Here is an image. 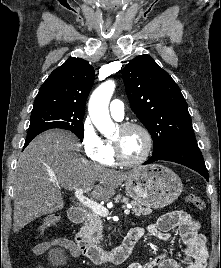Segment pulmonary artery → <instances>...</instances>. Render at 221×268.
I'll list each match as a JSON object with an SVG mask.
<instances>
[{
	"mask_svg": "<svg viewBox=\"0 0 221 268\" xmlns=\"http://www.w3.org/2000/svg\"><path fill=\"white\" fill-rule=\"evenodd\" d=\"M109 112L116 120H122L124 117V105L122 101L115 99L109 105Z\"/></svg>",
	"mask_w": 221,
	"mask_h": 268,
	"instance_id": "1",
	"label": "pulmonary artery"
}]
</instances>
